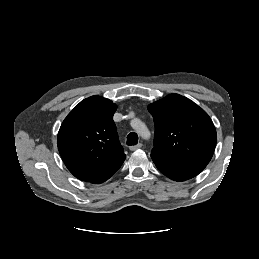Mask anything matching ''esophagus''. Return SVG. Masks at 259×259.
Masks as SVG:
<instances>
[{
  "instance_id": "1",
  "label": "esophagus",
  "mask_w": 259,
  "mask_h": 259,
  "mask_svg": "<svg viewBox=\"0 0 259 259\" xmlns=\"http://www.w3.org/2000/svg\"><path fill=\"white\" fill-rule=\"evenodd\" d=\"M142 147V143H138L137 145H135V146H131L130 147V150L131 151H135V150H137V149H140Z\"/></svg>"
}]
</instances>
